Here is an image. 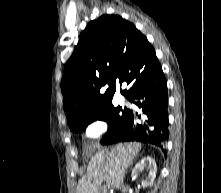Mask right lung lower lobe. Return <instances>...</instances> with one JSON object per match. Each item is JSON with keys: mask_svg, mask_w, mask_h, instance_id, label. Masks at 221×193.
Listing matches in <instances>:
<instances>
[{"mask_svg": "<svg viewBox=\"0 0 221 193\" xmlns=\"http://www.w3.org/2000/svg\"><path fill=\"white\" fill-rule=\"evenodd\" d=\"M128 99L142 109V114L130 110L125 125L103 143L141 141L162 147L168 140L167 82L161 65L156 62L136 82ZM166 153V152H165Z\"/></svg>", "mask_w": 221, "mask_h": 193, "instance_id": "obj_1", "label": "right lung lower lobe"}]
</instances>
